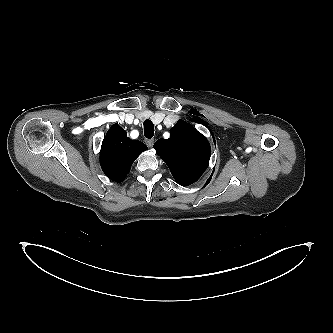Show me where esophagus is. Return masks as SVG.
<instances>
[{"label":"esophagus","mask_w":333,"mask_h":333,"mask_svg":"<svg viewBox=\"0 0 333 333\" xmlns=\"http://www.w3.org/2000/svg\"><path fill=\"white\" fill-rule=\"evenodd\" d=\"M145 142H146L148 147H152L153 144H154V139H147Z\"/></svg>","instance_id":"1"}]
</instances>
